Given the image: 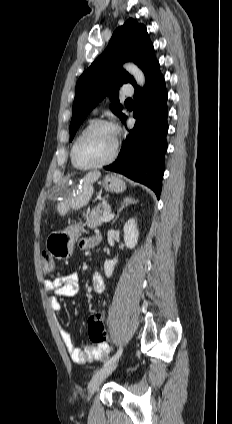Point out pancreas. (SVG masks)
I'll return each mask as SVG.
<instances>
[{
    "mask_svg": "<svg viewBox=\"0 0 232 424\" xmlns=\"http://www.w3.org/2000/svg\"><path fill=\"white\" fill-rule=\"evenodd\" d=\"M108 213H111V207L108 204H102L95 207L89 214L87 226L89 228H96L102 225L105 222L102 218Z\"/></svg>",
    "mask_w": 232,
    "mask_h": 424,
    "instance_id": "1",
    "label": "pancreas"
}]
</instances>
